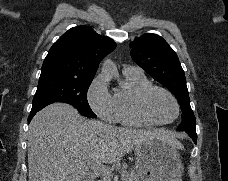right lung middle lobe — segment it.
Wrapping results in <instances>:
<instances>
[{"instance_id":"right-lung-middle-lobe-1","label":"right lung middle lobe","mask_w":228,"mask_h":181,"mask_svg":"<svg viewBox=\"0 0 228 181\" xmlns=\"http://www.w3.org/2000/svg\"><path fill=\"white\" fill-rule=\"evenodd\" d=\"M92 80L67 79L59 76L40 77L33 98L32 110L64 102L74 106L78 112L89 118H96L87 101V91Z\"/></svg>"}]
</instances>
